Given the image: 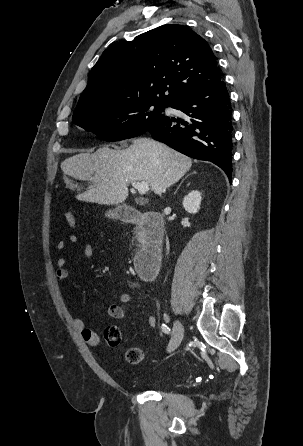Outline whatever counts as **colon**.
<instances>
[{
	"label": "colon",
	"mask_w": 303,
	"mask_h": 446,
	"mask_svg": "<svg viewBox=\"0 0 303 446\" xmlns=\"http://www.w3.org/2000/svg\"><path fill=\"white\" fill-rule=\"evenodd\" d=\"M65 217L70 227H76L77 221L73 212H66ZM104 339L108 346L112 348L118 347L122 341L120 329L117 326L106 327L104 330ZM125 358L130 364H139L143 360V351L138 347H130L125 353Z\"/></svg>",
	"instance_id": "5ec220e1"
}]
</instances>
